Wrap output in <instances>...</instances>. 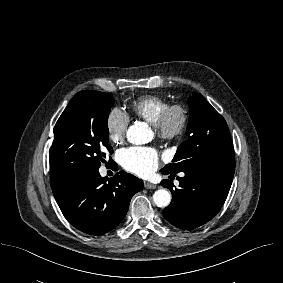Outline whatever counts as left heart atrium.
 Segmentation results:
<instances>
[{
	"instance_id": "39dd6f15",
	"label": "left heart atrium",
	"mask_w": 283,
	"mask_h": 283,
	"mask_svg": "<svg viewBox=\"0 0 283 283\" xmlns=\"http://www.w3.org/2000/svg\"><path fill=\"white\" fill-rule=\"evenodd\" d=\"M122 167L141 177L152 174L159 164V153L153 147L133 146L119 154Z\"/></svg>"
}]
</instances>
